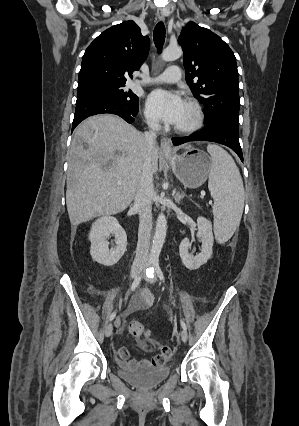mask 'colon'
Instances as JSON below:
<instances>
[{
	"instance_id": "1",
	"label": "colon",
	"mask_w": 299,
	"mask_h": 426,
	"mask_svg": "<svg viewBox=\"0 0 299 426\" xmlns=\"http://www.w3.org/2000/svg\"><path fill=\"white\" fill-rule=\"evenodd\" d=\"M129 331H130V333H131L134 337H136V338H145V339H148V340H150L153 344H155L156 346L160 347V348H161V350H163V351H165V352H167V353H169V352H170L169 348H167V347H161V346L159 345L158 341H157V340H155L154 338H152V336H151V334H150L149 330H148V329H146V327H145L142 323H140V322H138V321H133V322H131V323H130V325H129Z\"/></svg>"
}]
</instances>
